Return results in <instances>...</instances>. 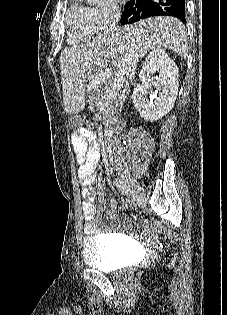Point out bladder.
Returning a JSON list of instances; mask_svg holds the SVG:
<instances>
[{
	"label": "bladder",
	"instance_id": "obj_1",
	"mask_svg": "<svg viewBox=\"0 0 227 315\" xmlns=\"http://www.w3.org/2000/svg\"><path fill=\"white\" fill-rule=\"evenodd\" d=\"M131 242L117 235L89 236L83 243V260L86 266L101 271L125 267Z\"/></svg>",
	"mask_w": 227,
	"mask_h": 315
}]
</instances>
